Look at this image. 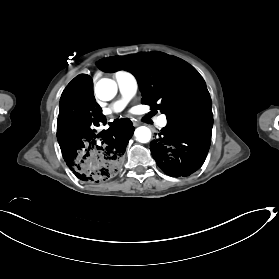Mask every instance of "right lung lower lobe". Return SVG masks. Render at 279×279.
Wrapping results in <instances>:
<instances>
[{
  "label": "right lung lower lobe",
  "mask_w": 279,
  "mask_h": 279,
  "mask_svg": "<svg viewBox=\"0 0 279 279\" xmlns=\"http://www.w3.org/2000/svg\"><path fill=\"white\" fill-rule=\"evenodd\" d=\"M106 122L95 102L92 78L78 75L60 99L57 139L64 161L82 181L111 180L122 166V156L134 127L128 118L116 119L107 130L97 134L94 127Z\"/></svg>",
  "instance_id": "right-lung-lower-lobe-1"
}]
</instances>
